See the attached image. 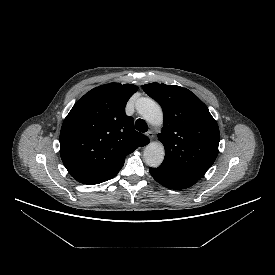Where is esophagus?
Instances as JSON below:
<instances>
[{
    "mask_svg": "<svg viewBox=\"0 0 275 275\" xmlns=\"http://www.w3.org/2000/svg\"><path fill=\"white\" fill-rule=\"evenodd\" d=\"M146 136L149 138L150 141H152L153 137H154V133L152 131H148L146 133Z\"/></svg>",
    "mask_w": 275,
    "mask_h": 275,
    "instance_id": "34e87169",
    "label": "esophagus"
}]
</instances>
